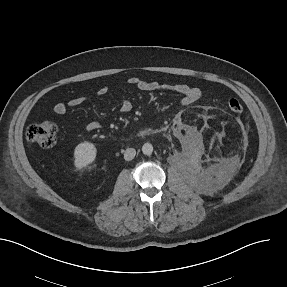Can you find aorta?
I'll return each mask as SVG.
<instances>
[{
	"instance_id": "obj_1",
	"label": "aorta",
	"mask_w": 287,
	"mask_h": 287,
	"mask_svg": "<svg viewBox=\"0 0 287 287\" xmlns=\"http://www.w3.org/2000/svg\"><path fill=\"white\" fill-rule=\"evenodd\" d=\"M142 152H143L145 155H150V154H152V152H153V146H152V144H150V143H145V144L142 146Z\"/></svg>"
}]
</instances>
